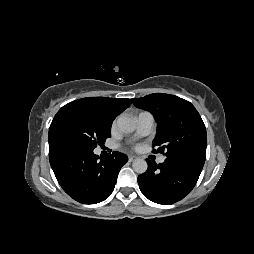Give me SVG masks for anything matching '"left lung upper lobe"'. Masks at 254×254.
Instances as JSON below:
<instances>
[{
  "instance_id": "1",
  "label": "left lung upper lobe",
  "mask_w": 254,
  "mask_h": 254,
  "mask_svg": "<svg viewBox=\"0 0 254 254\" xmlns=\"http://www.w3.org/2000/svg\"><path fill=\"white\" fill-rule=\"evenodd\" d=\"M133 104L153 114L157 134L152 142L154 152L171 157H194L205 161L207 135L201 116L195 107L180 97L154 93L133 98Z\"/></svg>"
}]
</instances>
